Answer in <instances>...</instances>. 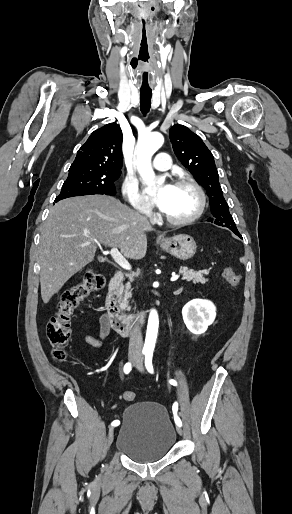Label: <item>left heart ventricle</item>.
<instances>
[{
  "label": "left heart ventricle",
  "mask_w": 292,
  "mask_h": 514,
  "mask_svg": "<svg viewBox=\"0 0 292 514\" xmlns=\"http://www.w3.org/2000/svg\"><path fill=\"white\" fill-rule=\"evenodd\" d=\"M197 206V196L189 187L174 186L163 212L172 218L189 216Z\"/></svg>",
  "instance_id": "obj_1"
}]
</instances>
